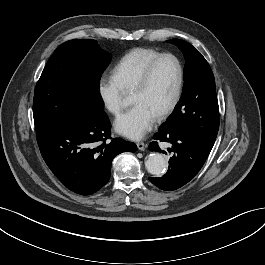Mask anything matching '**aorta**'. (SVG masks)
I'll return each mask as SVG.
<instances>
[{
  "instance_id": "762f6f07",
  "label": "aorta",
  "mask_w": 265,
  "mask_h": 265,
  "mask_svg": "<svg viewBox=\"0 0 265 265\" xmlns=\"http://www.w3.org/2000/svg\"><path fill=\"white\" fill-rule=\"evenodd\" d=\"M147 171L155 176H161L166 171V161L159 153H152L145 162Z\"/></svg>"
}]
</instances>
